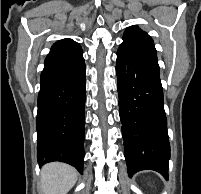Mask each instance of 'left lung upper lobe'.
I'll list each match as a JSON object with an SVG mask.
<instances>
[{
    "instance_id": "obj_1",
    "label": "left lung upper lobe",
    "mask_w": 201,
    "mask_h": 194,
    "mask_svg": "<svg viewBox=\"0 0 201 194\" xmlns=\"http://www.w3.org/2000/svg\"><path fill=\"white\" fill-rule=\"evenodd\" d=\"M123 42H127L136 47H140L156 53L152 38L136 25L131 26L125 30Z\"/></svg>"
}]
</instances>
